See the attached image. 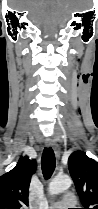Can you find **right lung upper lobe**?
<instances>
[{"instance_id":"1","label":"right lung upper lobe","mask_w":98,"mask_h":209,"mask_svg":"<svg viewBox=\"0 0 98 209\" xmlns=\"http://www.w3.org/2000/svg\"><path fill=\"white\" fill-rule=\"evenodd\" d=\"M36 161L21 157L14 169L0 177V209H25Z\"/></svg>"}]
</instances>
